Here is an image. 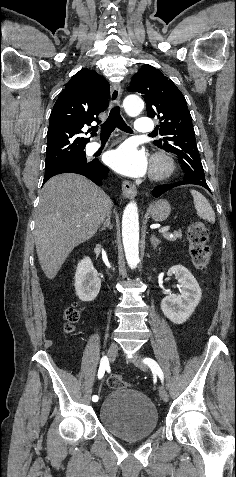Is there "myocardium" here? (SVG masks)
Instances as JSON below:
<instances>
[{
	"label": "myocardium",
	"mask_w": 236,
	"mask_h": 477,
	"mask_svg": "<svg viewBox=\"0 0 236 477\" xmlns=\"http://www.w3.org/2000/svg\"><path fill=\"white\" fill-rule=\"evenodd\" d=\"M175 168L170 154L164 151L154 153L151 159L150 176L154 180H163L169 177Z\"/></svg>",
	"instance_id": "1"
}]
</instances>
